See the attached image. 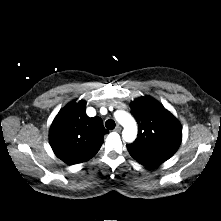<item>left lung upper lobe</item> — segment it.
<instances>
[{"label":"left lung upper lobe","mask_w":221,"mask_h":221,"mask_svg":"<svg viewBox=\"0 0 221 221\" xmlns=\"http://www.w3.org/2000/svg\"><path fill=\"white\" fill-rule=\"evenodd\" d=\"M130 108L139 127L138 137L127 145L130 155L143 165L164 162L172 157L182 139V128L177 119L149 96L135 99Z\"/></svg>","instance_id":"left-lung-upper-lobe-1"}]
</instances>
